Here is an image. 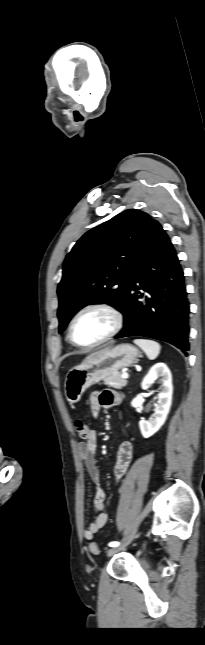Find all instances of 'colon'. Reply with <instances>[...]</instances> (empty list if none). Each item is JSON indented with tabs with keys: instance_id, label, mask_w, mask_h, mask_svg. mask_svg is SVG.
<instances>
[{
	"instance_id": "obj_1",
	"label": "colon",
	"mask_w": 205,
	"mask_h": 645,
	"mask_svg": "<svg viewBox=\"0 0 205 645\" xmlns=\"http://www.w3.org/2000/svg\"><path fill=\"white\" fill-rule=\"evenodd\" d=\"M74 429L79 435V437L83 440H88L91 435V429L87 425L85 421L82 419H76L73 423ZM89 550L93 554H99L101 552L100 547L95 543V542H90L89 543Z\"/></svg>"
}]
</instances>
